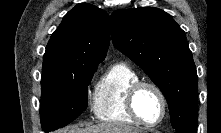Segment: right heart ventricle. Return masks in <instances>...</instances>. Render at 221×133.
Returning a JSON list of instances; mask_svg holds the SVG:
<instances>
[{
  "label": "right heart ventricle",
  "mask_w": 221,
  "mask_h": 133,
  "mask_svg": "<svg viewBox=\"0 0 221 133\" xmlns=\"http://www.w3.org/2000/svg\"><path fill=\"white\" fill-rule=\"evenodd\" d=\"M140 81L136 71L126 63L109 67L100 78L92 95V111L97 119L116 124H136L128 112L129 88Z\"/></svg>",
  "instance_id": "obj_1"
}]
</instances>
